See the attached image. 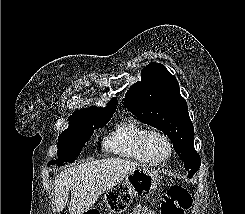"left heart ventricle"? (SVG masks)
Instances as JSON below:
<instances>
[{
    "label": "left heart ventricle",
    "mask_w": 245,
    "mask_h": 214,
    "mask_svg": "<svg viewBox=\"0 0 245 214\" xmlns=\"http://www.w3.org/2000/svg\"><path fill=\"white\" fill-rule=\"evenodd\" d=\"M149 157L153 160H161L168 154L166 142L159 136H152L147 145Z\"/></svg>",
    "instance_id": "left-heart-ventricle-1"
}]
</instances>
